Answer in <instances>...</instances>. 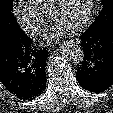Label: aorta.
<instances>
[{
    "instance_id": "obj_1",
    "label": "aorta",
    "mask_w": 113,
    "mask_h": 113,
    "mask_svg": "<svg viewBox=\"0 0 113 113\" xmlns=\"http://www.w3.org/2000/svg\"><path fill=\"white\" fill-rule=\"evenodd\" d=\"M60 51L65 59L72 63H81L84 58V52L80 46L72 41L64 42Z\"/></svg>"
}]
</instances>
